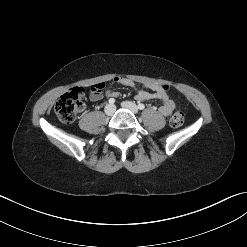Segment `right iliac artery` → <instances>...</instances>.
<instances>
[{
    "label": "right iliac artery",
    "instance_id": "82829eb1",
    "mask_svg": "<svg viewBox=\"0 0 247 247\" xmlns=\"http://www.w3.org/2000/svg\"><path fill=\"white\" fill-rule=\"evenodd\" d=\"M108 102H109V104L113 105L115 103V99L114 98H110Z\"/></svg>",
    "mask_w": 247,
    "mask_h": 247
}]
</instances>
